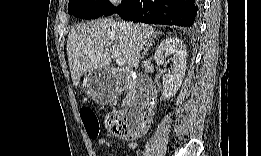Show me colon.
Here are the masks:
<instances>
[{"label":"colon","instance_id":"1","mask_svg":"<svg viewBox=\"0 0 261 156\" xmlns=\"http://www.w3.org/2000/svg\"><path fill=\"white\" fill-rule=\"evenodd\" d=\"M80 116L88 136L91 139H96L100 132V125L93 110L85 107L81 110ZM105 124L109 132L123 138L139 137L145 133L147 128L146 122L130 125L122 114L116 112H112L106 117Z\"/></svg>","mask_w":261,"mask_h":156}]
</instances>
